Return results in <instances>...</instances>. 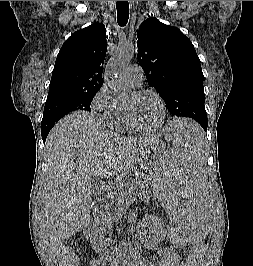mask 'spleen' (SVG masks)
<instances>
[{
  "mask_svg": "<svg viewBox=\"0 0 253 266\" xmlns=\"http://www.w3.org/2000/svg\"><path fill=\"white\" fill-rule=\"evenodd\" d=\"M168 153L156 160L151 193L159 199L166 221L168 248H203L210 234V216L205 176L208 135H201L199 123L191 117H170Z\"/></svg>",
  "mask_w": 253,
  "mask_h": 266,
  "instance_id": "obj_1",
  "label": "spleen"
}]
</instances>
